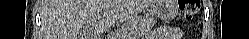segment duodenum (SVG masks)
<instances>
[{
    "mask_svg": "<svg viewBox=\"0 0 249 39\" xmlns=\"http://www.w3.org/2000/svg\"><path fill=\"white\" fill-rule=\"evenodd\" d=\"M103 39H107V37L105 35L102 36Z\"/></svg>",
    "mask_w": 249,
    "mask_h": 39,
    "instance_id": "duodenum-1",
    "label": "duodenum"
}]
</instances>
